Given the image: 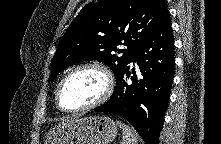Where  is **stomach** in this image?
<instances>
[{"label": "stomach", "mask_w": 221, "mask_h": 144, "mask_svg": "<svg viewBox=\"0 0 221 144\" xmlns=\"http://www.w3.org/2000/svg\"><path fill=\"white\" fill-rule=\"evenodd\" d=\"M116 136L117 126L111 118L86 116L47 136L46 144H109Z\"/></svg>", "instance_id": "0dacf381"}]
</instances>
